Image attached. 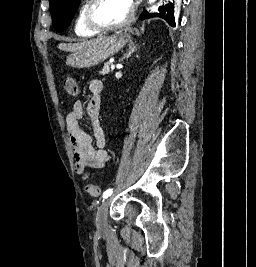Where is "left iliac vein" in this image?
Segmentation results:
<instances>
[{
    "label": "left iliac vein",
    "mask_w": 256,
    "mask_h": 267,
    "mask_svg": "<svg viewBox=\"0 0 256 267\" xmlns=\"http://www.w3.org/2000/svg\"><path fill=\"white\" fill-rule=\"evenodd\" d=\"M110 203H111L110 198L105 199L97 211L95 223L97 228L100 230H103L107 227V214Z\"/></svg>",
    "instance_id": "obj_1"
}]
</instances>
